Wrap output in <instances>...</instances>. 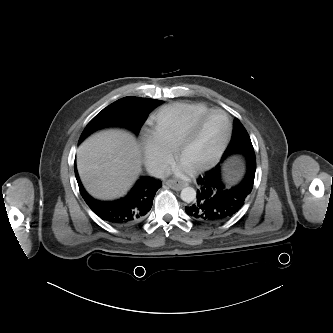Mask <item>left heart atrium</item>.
<instances>
[{
    "mask_svg": "<svg viewBox=\"0 0 333 333\" xmlns=\"http://www.w3.org/2000/svg\"><path fill=\"white\" fill-rule=\"evenodd\" d=\"M188 170H189V168L186 167V166H184V165L181 164V163H179L178 166H176V168H175V171H176L178 174H182V173H184V172H186V171H188Z\"/></svg>",
    "mask_w": 333,
    "mask_h": 333,
    "instance_id": "left-heart-atrium-1",
    "label": "left heart atrium"
}]
</instances>
